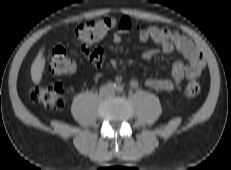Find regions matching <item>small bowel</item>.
Here are the masks:
<instances>
[{"instance_id":"small-bowel-1","label":"small bowel","mask_w":231,"mask_h":170,"mask_svg":"<svg viewBox=\"0 0 231 170\" xmlns=\"http://www.w3.org/2000/svg\"><path fill=\"white\" fill-rule=\"evenodd\" d=\"M135 30L141 41L151 39L158 49L148 50L144 53L145 59H151L159 52L170 53L173 50L180 52L187 63L176 61L171 70V78H149L145 81V86L163 92H173L177 90L184 79L193 80L200 76L205 67V61L201 52L194 46L192 41L180 30H170L157 26H146L134 23L129 17L123 16L117 25V31L113 35L115 44L122 43V36ZM82 51L87 61L100 66L104 56L102 49H91L88 43L82 44ZM129 83L132 87L138 86L136 77H131Z\"/></svg>"}]
</instances>
